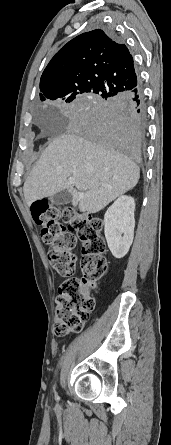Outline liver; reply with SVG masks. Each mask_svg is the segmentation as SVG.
<instances>
[{
  "instance_id": "6515ba94",
  "label": "liver",
  "mask_w": 171,
  "mask_h": 445,
  "mask_svg": "<svg viewBox=\"0 0 171 445\" xmlns=\"http://www.w3.org/2000/svg\"><path fill=\"white\" fill-rule=\"evenodd\" d=\"M139 177L137 164L121 157L110 145L73 133L62 134L43 151L23 191L30 207L36 200L67 189L73 206L91 214L134 188ZM69 178L75 179V184H69Z\"/></svg>"
}]
</instances>
